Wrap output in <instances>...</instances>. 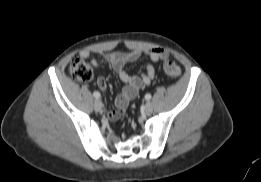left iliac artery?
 Segmentation results:
<instances>
[{"mask_svg": "<svg viewBox=\"0 0 261 182\" xmlns=\"http://www.w3.org/2000/svg\"><path fill=\"white\" fill-rule=\"evenodd\" d=\"M145 99H146V100H150V99H151V94H146V95H145Z\"/></svg>", "mask_w": 261, "mask_h": 182, "instance_id": "44dca946", "label": "left iliac artery"}]
</instances>
